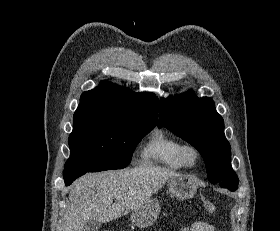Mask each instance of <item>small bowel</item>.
I'll use <instances>...</instances> for the list:
<instances>
[{
  "label": "small bowel",
  "instance_id": "obj_1",
  "mask_svg": "<svg viewBox=\"0 0 280 231\" xmlns=\"http://www.w3.org/2000/svg\"><path fill=\"white\" fill-rule=\"evenodd\" d=\"M215 227L205 221H196L190 226L182 228L181 231H215Z\"/></svg>",
  "mask_w": 280,
  "mask_h": 231
}]
</instances>
